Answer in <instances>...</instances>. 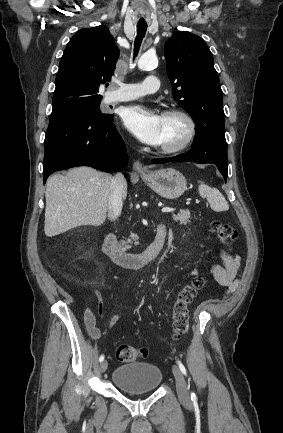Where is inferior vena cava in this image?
Listing matches in <instances>:
<instances>
[{
	"instance_id": "inferior-vena-cava-1",
	"label": "inferior vena cava",
	"mask_w": 283,
	"mask_h": 433,
	"mask_svg": "<svg viewBox=\"0 0 283 433\" xmlns=\"http://www.w3.org/2000/svg\"><path fill=\"white\" fill-rule=\"evenodd\" d=\"M125 184V178L122 172H117L112 178L110 194L108 198V217L115 221L122 210V192Z\"/></svg>"
}]
</instances>
